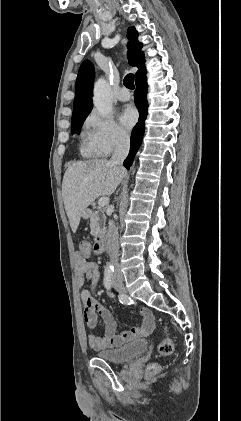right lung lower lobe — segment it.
Listing matches in <instances>:
<instances>
[{"label": "right lung lower lobe", "mask_w": 241, "mask_h": 421, "mask_svg": "<svg viewBox=\"0 0 241 421\" xmlns=\"http://www.w3.org/2000/svg\"><path fill=\"white\" fill-rule=\"evenodd\" d=\"M136 90L134 92L135 104L140 113V118L138 123L132 130L131 141H130V152L126 160L124 161V166L129 169L133 163V158L138 151L140 144L142 142L143 133L145 130V119L148 111L147 103V78H146V69L145 67L138 73L135 78Z\"/></svg>", "instance_id": "right-lung-lower-lobe-1"}]
</instances>
